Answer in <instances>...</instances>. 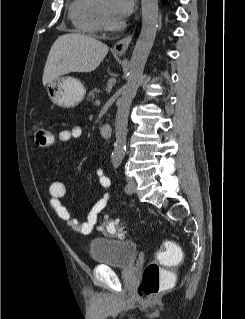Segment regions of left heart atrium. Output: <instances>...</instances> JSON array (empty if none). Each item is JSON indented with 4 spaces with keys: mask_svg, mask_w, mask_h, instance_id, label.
<instances>
[{
    "mask_svg": "<svg viewBox=\"0 0 245 319\" xmlns=\"http://www.w3.org/2000/svg\"><path fill=\"white\" fill-rule=\"evenodd\" d=\"M136 0H113V15L121 21L126 19L133 11Z\"/></svg>",
    "mask_w": 245,
    "mask_h": 319,
    "instance_id": "obj_1",
    "label": "left heart atrium"
}]
</instances>
